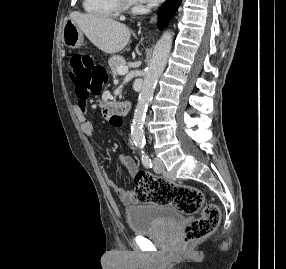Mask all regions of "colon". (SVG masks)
<instances>
[{
  "label": "colon",
  "instance_id": "1",
  "mask_svg": "<svg viewBox=\"0 0 286 269\" xmlns=\"http://www.w3.org/2000/svg\"><path fill=\"white\" fill-rule=\"evenodd\" d=\"M71 79L82 97L95 94L96 83L103 77L102 68L86 54H75L70 59ZM115 116L113 121H122ZM124 128V123H119ZM135 196L140 202H154L170 205L182 214H194L201 210L199 218L190 223L184 231L186 245L212 234L220 220V210L213 203H206L203 192L191 185H182L155 177L148 173L135 176Z\"/></svg>",
  "mask_w": 286,
  "mask_h": 269
}]
</instances>
